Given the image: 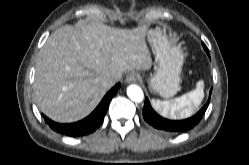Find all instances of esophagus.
<instances>
[{"mask_svg":"<svg viewBox=\"0 0 249 165\" xmlns=\"http://www.w3.org/2000/svg\"><path fill=\"white\" fill-rule=\"evenodd\" d=\"M139 80V77L136 73H130L129 75H127L126 77V82L127 83H135Z\"/></svg>","mask_w":249,"mask_h":165,"instance_id":"esophagus-1","label":"esophagus"}]
</instances>
